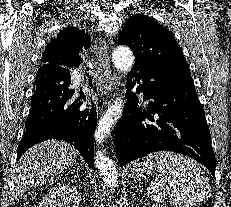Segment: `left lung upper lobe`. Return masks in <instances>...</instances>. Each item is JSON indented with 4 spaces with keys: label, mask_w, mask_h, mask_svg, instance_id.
Instances as JSON below:
<instances>
[{
    "label": "left lung upper lobe",
    "mask_w": 231,
    "mask_h": 207,
    "mask_svg": "<svg viewBox=\"0 0 231 207\" xmlns=\"http://www.w3.org/2000/svg\"><path fill=\"white\" fill-rule=\"evenodd\" d=\"M118 41L133 50L135 62L145 61L179 78H191L188 63L173 34L153 18L133 15L119 33Z\"/></svg>",
    "instance_id": "5c2ea615"
}]
</instances>
